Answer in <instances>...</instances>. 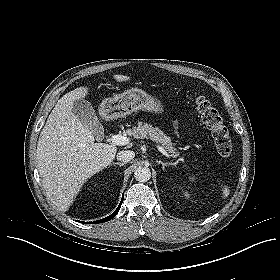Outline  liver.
Listing matches in <instances>:
<instances>
[{"mask_svg": "<svg viewBox=\"0 0 280 280\" xmlns=\"http://www.w3.org/2000/svg\"><path fill=\"white\" fill-rule=\"evenodd\" d=\"M118 82L130 77L114 75ZM88 94L81 86L63 95L47 118L38 144L36 162L46 195L66 211L88 178L114 160L117 147L94 143L92 131L73 114V103Z\"/></svg>", "mask_w": 280, "mask_h": 280, "instance_id": "6515ba94", "label": "liver"}]
</instances>
